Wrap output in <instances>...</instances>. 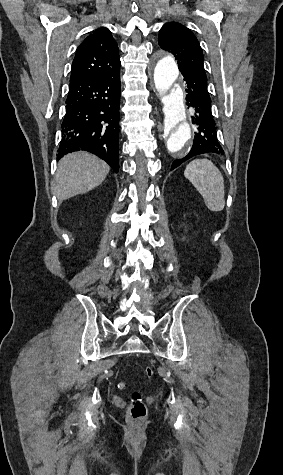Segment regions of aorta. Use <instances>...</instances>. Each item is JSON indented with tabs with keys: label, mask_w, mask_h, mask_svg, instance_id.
<instances>
[{
	"label": "aorta",
	"mask_w": 283,
	"mask_h": 475,
	"mask_svg": "<svg viewBox=\"0 0 283 475\" xmlns=\"http://www.w3.org/2000/svg\"><path fill=\"white\" fill-rule=\"evenodd\" d=\"M155 87L164 104V122L160 137L162 154L175 158L185 156L193 144V131L188 120L183 92L178 84L179 69L171 56L159 59L153 71Z\"/></svg>",
	"instance_id": "obj_1"
}]
</instances>
